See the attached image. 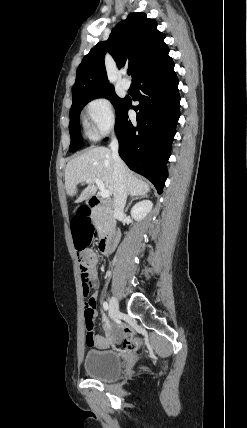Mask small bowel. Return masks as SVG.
Returning a JSON list of instances; mask_svg holds the SVG:
<instances>
[{
	"label": "small bowel",
	"mask_w": 247,
	"mask_h": 428,
	"mask_svg": "<svg viewBox=\"0 0 247 428\" xmlns=\"http://www.w3.org/2000/svg\"><path fill=\"white\" fill-rule=\"evenodd\" d=\"M86 259L88 261V263L91 265V267L93 268L94 271V278L91 284V288L94 290L92 292V294L87 298V302L90 303L91 305L96 306V301H97V297H98V287H99V279H98V275L94 269L95 265L97 264V257L96 254L92 251V250H88L85 253ZM106 327V324H105ZM123 336H126V331L125 329H117L115 332L113 333H109L106 336H101V335H93V340H88V338H86V343L88 346H94V347H98V348H105L108 347L110 344L113 343H119L121 341V339L123 338Z\"/></svg>",
	"instance_id": "1"
}]
</instances>
